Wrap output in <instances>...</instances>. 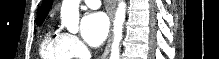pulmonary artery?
<instances>
[{"label": "pulmonary artery", "instance_id": "e3ab8cb5", "mask_svg": "<svg viewBox=\"0 0 219 59\" xmlns=\"http://www.w3.org/2000/svg\"><path fill=\"white\" fill-rule=\"evenodd\" d=\"M84 3L92 9H97L100 7V1L98 0H84Z\"/></svg>", "mask_w": 219, "mask_h": 59}]
</instances>
